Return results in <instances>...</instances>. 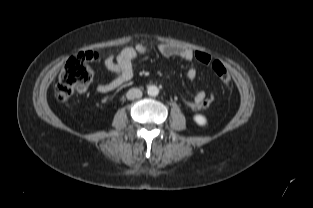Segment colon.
Instances as JSON below:
<instances>
[{
  "instance_id": "colon-1",
  "label": "colon",
  "mask_w": 313,
  "mask_h": 208,
  "mask_svg": "<svg viewBox=\"0 0 313 208\" xmlns=\"http://www.w3.org/2000/svg\"><path fill=\"white\" fill-rule=\"evenodd\" d=\"M195 60L202 64H210L218 79L225 85L229 86L231 77L224 64L219 60L211 62L209 54L201 51L194 53ZM94 59L93 52L79 53L71 57L63 67L56 87L55 97L59 102L67 101L75 91L84 90L93 78V70L89 62ZM214 96L211 94L200 104L195 105L191 101H187L193 109H203L211 105Z\"/></svg>"
}]
</instances>
